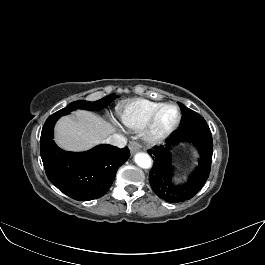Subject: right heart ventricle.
Masks as SVG:
<instances>
[{"mask_svg": "<svg viewBox=\"0 0 265 265\" xmlns=\"http://www.w3.org/2000/svg\"><path fill=\"white\" fill-rule=\"evenodd\" d=\"M160 104V102L143 98L131 99L118 105L117 115L124 126L139 130L143 127L148 116Z\"/></svg>", "mask_w": 265, "mask_h": 265, "instance_id": "e07e8e85", "label": "right heart ventricle"}]
</instances>
